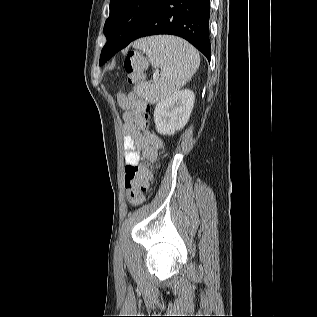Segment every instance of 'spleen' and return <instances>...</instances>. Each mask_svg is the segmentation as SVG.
<instances>
[{
  "label": "spleen",
  "mask_w": 317,
  "mask_h": 317,
  "mask_svg": "<svg viewBox=\"0 0 317 317\" xmlns=\"http://www.w3.org/2000/svg\"><path fill=\"white\" fill-rule=\"evenodd\" d=\"M133 46L146 53L152 66L160 69L159 79L140 83L135 90L138 96L152 104L178 92L200 65L197 50L178 37H147L137 40Z\"/></svg>",
  "instance_id": "spleen-1"
}]
</instances>
